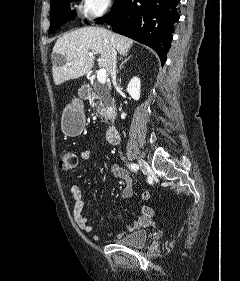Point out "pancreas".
<instances>
[{
	"label": "pancreas",
	"mask_w": 240,
	"mask_h": 281,
	"mask_svg": "<svg viewBox=\"0 0 240 281\" xmlns=\"http://www.w3.org/2000/svg\"><path fill=\"white\" fill-rule=\"evenodd\" d=\"M93 90L94 91L91 92L90 105L91 107L97 108V112L101 116L102 122L107 123L111 114L115 112L114 101L111 98L108 89L104 88L100 90L95 84L93 85Z\"/></svg>",
	"instance_id": "cf45deb5"
}]
</instances>
